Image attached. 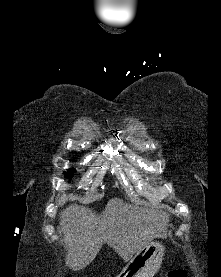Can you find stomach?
I'll return each mask as SVG.
<instances>
[{"label": "stomach", "instance_id": "stomach-1", "mask_svg": "<svg viewBox=\"0 0 221 277\" xmlns=\"http://www.w3.org/2000/svg\"><path fill=\"white\" fill-rule=\"evenodd\" d=\"M165 246L158 240H151L138 250L118 277H153L160 268Z\"/></svg>", "mask_w": 221, "mask_h": 277}]
</instances>
